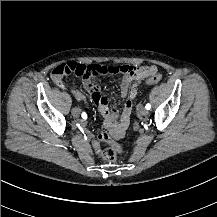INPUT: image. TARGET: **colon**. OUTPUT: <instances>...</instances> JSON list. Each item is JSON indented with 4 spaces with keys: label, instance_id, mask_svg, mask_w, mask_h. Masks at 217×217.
Masks as SVG:
<instances>
[{
    "label": "colon",
    "instance_id": "obj_1",
    "mask_svg": "<svg viewBox=\"0 0 217 217\" xmlns=\"http://www.w3.org/2000/svg\"><path fill=\"white\" fill-rule=\"evenodd\" d=\"M156 69L153 66L141 65L139 67L132 66L129 64H116V65H69L58 67L54 71L55 79H66L71 75L76 77H89V76H98L100 74H134L141 78L142 75L149 73L151 70ZM161 79V74L158 72L154 77H151L149 80H146L144 83L147 85H152L159 82ZM133 130H138L139 126L137 122L132 123ZM97 137L101 142H107L110 146H114V149L118 153L123 154L125 148L117 143L113 138L106 135L104 131H99ZM103 155L106 161H113L116 159V153L111 151V149L106 148L103 150Z\"/></svg>",
    "mask_w": 217,
    "mask_h": 217
}]
</instances>
